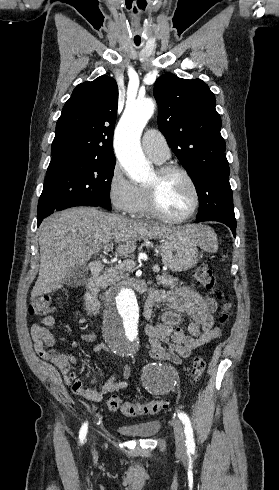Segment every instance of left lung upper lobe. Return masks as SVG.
<instances>
[{"label":"left lung upper lobe","instance_id":"5c2ea615","mask_svg":"<svg viewBox=\"0 0 279 490\" xmlns=\"http://www.w3.org/2000/svg\"><path fill=\"white\" fill-rule=\"evenodd\" d=\"M154 96L159 105V130L196 187V220L217 217L236 221L214 94L200 79L186 80L168 73L156 80Z\"/></svg>","mask_w":279,"mask_h":490}]
</instances>
